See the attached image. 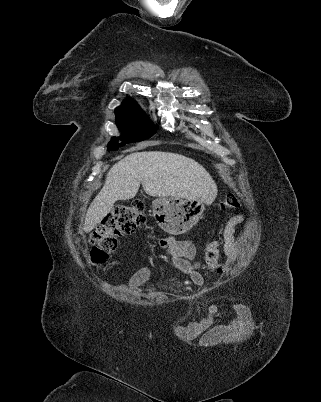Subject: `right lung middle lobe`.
<instances>
[{
	"mask_svg": "<svg viewBox=\"0 0 321 402\" xmlns=\"http://www.w3.org/2000/svg\"><path fill=\"white\" fill-rule=\"evenodd\" d=\"M116 124L122 131L123 142L117 144L113 140L108 144V150H116L126 143L145 140L154 134V126L138 107L120 106L115 109Z\"/></svg>",
	"mask_w": 321,
	"mask_h": 402,
	"instance_id": "obj_1",
	"label": "right lung middle lobe"
}]
</instances>
